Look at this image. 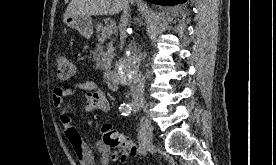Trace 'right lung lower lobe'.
I'll return each instance as SVG.
<instances>
[{"mask_svg": "<svg viewBox=\"0 0 276 165\" xmlns=\"http://www.w3.org/2000/svg\"><path fill=\"white\" fill-rule=\"evenodd\" d=\"M155 4L160 5H176L178 3H184L186 0H147Z\"/></svg>", "mask_w": 276, "mask_h": 165, "instance_id": "1", "label": "right lung lower lobe"}]
</instances>
